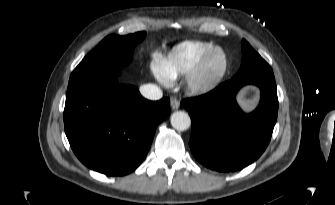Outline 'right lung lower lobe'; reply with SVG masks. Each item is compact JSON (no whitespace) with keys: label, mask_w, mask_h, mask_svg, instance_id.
Segmentation results:
<instances>
[{"label":"right lung lower lobe","mask_w":335,"mask_h":205,"mask_svg":"<svg viewBox=\"0 0 335 205\" xmlns=\"http://www.w3.org/2000/svg\"><path fill=\"white\" fill-rule=\"evenodd\" d=\"M170 99L149 101L116 74L101 73L68 86L64 127L70 146L88 168L107 176L134 171L147 155Z\"/></svg>","instance_id":"right-lung-lower-lobe-1"}]
</instances>
